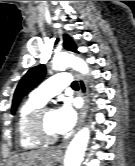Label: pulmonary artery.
<instances>
[{
	"label": "pulmonary artery",
	"instance_id": "1",
	"mask_svg": "<svg viewBox=\"0 0 135 166\" xmlns=\"http://www.w3.org/2000/svg\"><path fill=\"white\" fill-rule=\"evenodd\" d=\"M71 84L70 76L67 72H58L41 83L33 92L32 96L45 103L50 98L60 93L65 87Z\"/></svg>",
	"mask_w": 135,
	"mask_h": 166
}]
</instances>
